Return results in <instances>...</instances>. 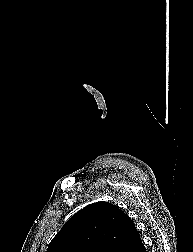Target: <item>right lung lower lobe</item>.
Segmentation results:
<instances>
[{"mask_svg": "<svg viewBox=\"0 0 193 252\" xmlns=\"http://www.w3.org/2000/svg\"><path fill=\"white\" fill-rule=\"evenodd\" d=\"M132 252H146V249L143 245L142 242H140L134 249Z\"/></svg>", "mask_w": 193, "mask_h": 252, "instance_id": "obj_1", "label": "right lung lower lobe"}]
</instances>
